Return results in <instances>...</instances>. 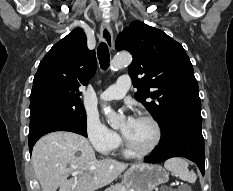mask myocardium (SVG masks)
I'll return each mask as SVG.
<instances>
[{
  "label": "myocardium",
  "mask_w": 233,
  "mask_h": 191,
  "mask_svg": "<svg viewBox=\"0 0 233 191\" xmlns=\"http://www.w3.org/2000/svg\"><path fill=\"white\" fill-rule=\"evenodd\" d=\"M137 119L147 120V121H149L154 126V129H155V139H154L152 145L149 148H147V149H139L136 146H134L126 138L125 135H123V140H124V144H125V146H126V148H127V150L129 152H131L132 154H134L136 156H145V155H148V154L152 153L158 147V145L160 144L161 138H162V129H161L160 123L157 121V119L154 118L150 114H146V113L140 114L137 117Z\"/></svg>",
  "instance_id": "myocardium-1"
}]
</instances>
